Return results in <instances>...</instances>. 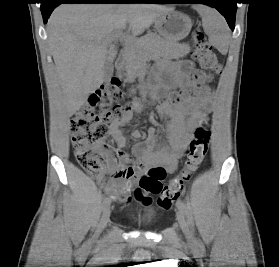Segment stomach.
<instances>
[{"label":"stomach","instance_id":"1","mask_svg":"<svg viewBox=\"0 0 279 267\" xmlns=\"http://www.w3.org/2000/svg\"><path fill=\"white\" fill-rule=\"evenodd\" d=\"M158 33L167 41L176 42L184 39L190 32L191 19L178 11H167L155 20Z\"/></svg>","mask_w":279,"mask_h":267}]
</instances>
